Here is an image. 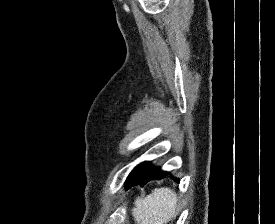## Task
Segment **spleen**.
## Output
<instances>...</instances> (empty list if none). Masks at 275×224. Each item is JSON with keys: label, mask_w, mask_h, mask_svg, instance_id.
I'll list each match as a JSON object with an SVG mask.
<instances>
[{"label": "spleen", "mask_w": 275, "mask_h": 224, "mask_svg": "<svg viewBox=\"0 0 275 224\" xmlns=\"http://www.w3.org/2000/svg\"><path fill=\"white\" fill-rule=\"evenodd\" d=\"M177 202L173 190L156 188L151 194L136 198L132 215L137 224H167L175 215Z\"/></svg>", "instance_id": "spleen-1"}]
</instances>
